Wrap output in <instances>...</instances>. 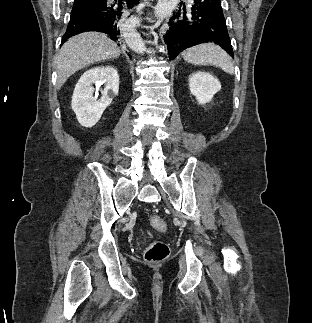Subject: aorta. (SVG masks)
<instances>
[{
  "mask_svg": "<svg viewBox=\"0 0 312 323\" xmlns=\"http://www.w3.org/2000/svg\"><path fill=\"white\" fill-rule=\"evenodd\" d=\"M124 38L127 46H129L133 52H136V54H144V52H146V46L136 30H130L128 34H125Z\"/></svg>",
  "mask_w": 312,
  "mask_h": 323,
  "instance_id": "aorta-1",
  "label": "aorta"
}]
</instances>
